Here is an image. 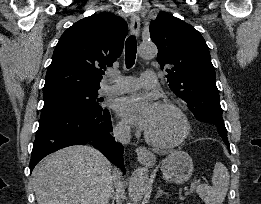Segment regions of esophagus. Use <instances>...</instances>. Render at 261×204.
<instances>
[{"instance_id":"34e87169","label":"esophagus","mask_w":261,"mask_h":204,"mask_svg":"<svg viewBox=\"0 0 261 204\" xmlns=\"http://www.w3.org/2000/svg\"><path fill=\"white\" fill-rule=\"evenodd\" d=\"M130 30L135 36L139 35L140 31V18L136 13H133L130 18ZM138 161L146 166H152L156 162L155 155L145 147H138L136 149Z\"/></svg>"}]
</instances>
